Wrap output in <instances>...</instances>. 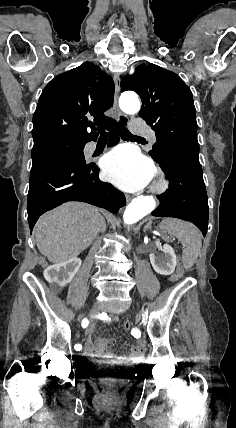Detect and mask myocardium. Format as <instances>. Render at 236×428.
Returning <instances> with one entry per match:
<instances>
[{
  "instance_id": "1",
  "label": "myocardium",
  "mask_w": 236,
  "mask_h": 428,
  "mask_svg": "<svg viewBox=\"0 0 236 428\" xmlns=\"http://www.w3.org/2000/svg\"><path fill=\"white\" fill-rule=\"evenodd\" d=\"M153 174H154V180L150 187L151 192L157 196L168 193L172 186H171V182L167 178L166 173L161 169H157V170H154Z\"/></svg>"
}]
</instances>
